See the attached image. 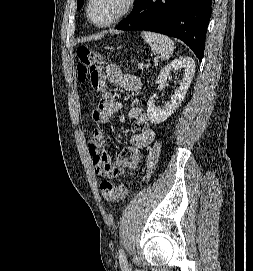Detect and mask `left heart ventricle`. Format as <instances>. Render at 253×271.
I'll use <instances>...</instances> for the list:
<instances>
[{
  "mask_svg": "<svg viewBox=\"0 0 253 271\" xmlns=\"http://www.w3.org/2000/svg\"><path fill=\"white\" fill-rule=\"evenodd\" d=\"M126 0H94L91 6V16L98 24L111 20L122 11Z\"/></svg>",
  "mask_w": 253,
  "mask_h": 271,
  "instance_id": "b2bd125f",
  "label": "left heart ventricle"
}]
</instances>
